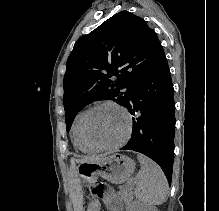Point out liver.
<instances>
[{
	"instance_id": "1",
	"label": "liver",
	"mask_w": 219,
	"mask_h": 211,
	"mask_svg": "<svg viewBox=\"0 0 219 211\" xmlns=\"http://www.w3.org/2000/svg\"><path fill=\"white\" fill-rule=\"evenodd\" d=\"M87 159H91V161H92V159H96V157H87ZM76 161H78V159H76ZM71 165H72V167H75L74 157H72V159H71ZM81 197H82V195H81ZM73 203H74L75 211H77L78 207H77L76 197H73ZM80 209H82V207H80Z\"/></svg>"
}]
</instances>
